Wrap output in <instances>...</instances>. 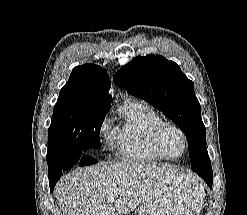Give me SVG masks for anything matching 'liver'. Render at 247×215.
<instances>
[{"instance_id": "6515ba94", "label": "liver", "mask_w": 247, "mask_h": 215, "mask_svg": "<svg viewBox=\"0 0 247 215\" xmlns=\"http://www.w3.org/2000/svg\"><path fill=\"white\" fill-rule=\"evenodd\" d=\"M183 174L175 166L162 164H98L61 178L55 187L56 199L63 215H123L141 205L167 181ZM110 195L115 196L113 201L109 200Z\"/></svg>"}]
</instances>
